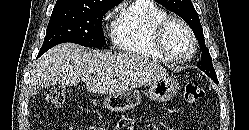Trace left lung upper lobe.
<instances>
[{
  "label": "left lung upper lobe",
  "instance_id": "5c2ea615",
  "mask_svg": "<svg viewBox=\"0 0 249 130\" xmlns=\"http://www.w3.org/2000/svg\"><path fill=\"white\" fill-rule=\"evenodd\" d=\"M165 8L179 15L193 30L202 50L201 60L197 67L205 72L215 83H218L216 72L212 64V58L205 45L203 29L191 0H156Z\"/></svg>",
  "mask_w": 249,
  "mask_h": 130
}]
</instances>
